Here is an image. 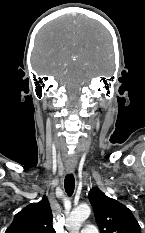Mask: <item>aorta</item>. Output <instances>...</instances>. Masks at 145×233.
I'll use <instances>...</instances> for the list:
<instances>
[{
  "mask_svg": "<svg viewBox=\"0 0 145 233\" xmlns=\"http://www.w3.org/2000/svg\"><path fill=\"white\" fill-rule=\"evenodd\" d=\"M91 209L82 204L74 209L66 220V228L69 233H79L82 223L90 216Z\"/></svg>",
  "mask_w": 145,
  "mask_h": 233,
  "instance_id": "762f6f07",
  "label": "aorta"
}]
</instances>
